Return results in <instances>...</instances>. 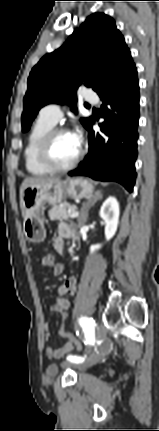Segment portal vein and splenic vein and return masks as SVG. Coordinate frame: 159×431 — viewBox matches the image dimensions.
Here are the masks:
<instances>
[{"mask_svg": "<svg viewBox=\"0 0 159 431\" xmlns=\"http://www.w3.org/2000/svg\"><path fill=\"white\" fill-rule=\"evenodd\" d=\"M69 217L70 218H76V217H78L79 216V212L78 211H74V212H71V210H69Z\"/></svg>", "mask_w": 159, "mask_h": 431, "instance_id": "portal-vein-and-splenic-vein-1", "label": "portal vein and splenic vein"}]
</instances>
